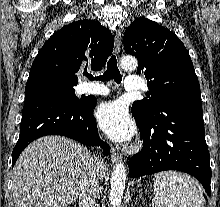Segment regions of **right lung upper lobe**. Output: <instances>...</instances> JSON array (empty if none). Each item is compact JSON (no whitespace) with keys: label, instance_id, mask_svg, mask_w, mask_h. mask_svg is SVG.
I'll return each mask as SVG.
<instances>
[{"label":"right lung upper lobe","instance_id":"1","mask_svg":"<svg viewBox=\"0 0 220 207\" xmlns=\"http://www.w3.org/2000/svg\"><path fill=\"white\" fill-rule=\"evenodd\" d=\"M113 46L111 31L99 21H75L45 42L32 63L27 83L56 79L77 85L76 73L81 63L90 62L93 70H101Z\"/></svg>","mask_w":220,"mask_h":207}]
</instances>
